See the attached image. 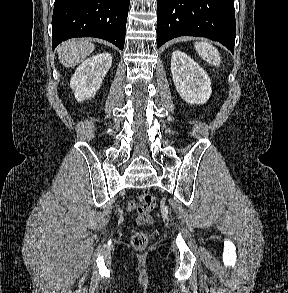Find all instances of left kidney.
I'll list each match as a JSON object with an SVG mask.
<instances>
[{
  "label": "left kidney",
  "mask_w": 288,
  "mask_h": 293,
  "mask_svg": "<svg viewBox=\"0 0 288 293\" xmlns=\"http://www.w3.org/2000/svg\"><path fill=\"white\" fill-rule=\"evenodd\" d=\"M171 71L176 90L184 101L190 105H200L208 101L212 93L210 78L188 55L174 51Z\"/></svg>",
  "instance_id": "left-kidney-1"
}]
</instances>
